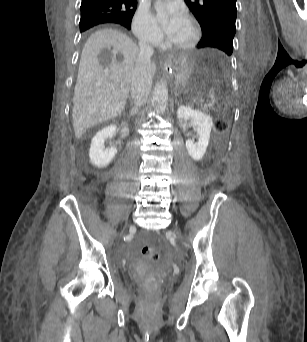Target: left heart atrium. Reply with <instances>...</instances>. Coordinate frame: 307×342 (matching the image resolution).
Returning <instances> with one entry per match:
<instances>
[{
    "mask_svg": "<svg viewBox=\"0 0 307 342\" xmlns=\"http://www.w3.org/2000/svg\"><path fill=\"white\" fill-rule=\"evenodd\" d=\"M158 41L173 44L189 29L187 18L171 4H162L151 14Z\"/></svg>",
    "mask_w": 307,
    "mask_h": 342,
    "instance_id": "obj_1",
    "label": "left heart atrium"
}]
</instances>
